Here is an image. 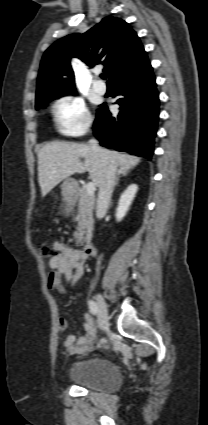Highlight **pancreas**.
Segmentation results:
<instances>
[{"label": "pancreas", "instance_id": "pancreas-1", "mask_svg": "<svg viewBox=\"0 0 208 425\" xmlns=\"http://www.w3.org/2000/svg\"><path fill=\"white\" fill-rule=\"evenodd\" d=\"M95 204L94 195H89L86 189L83 188L79 195L77 217L75 221L78 222L74 238L76 246L83 244L85 235L91 233L93 229V209Z\"/></svg>", "mask_w": 208, "mask_h": 425}]
</instances>
